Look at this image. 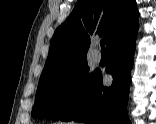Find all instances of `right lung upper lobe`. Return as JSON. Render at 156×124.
Returning a JSON list of instances; mask_svg holds the SVG:
<instances>
[{
    "label": "right lung upper lobe",
    "mask_w": 156,
    "mask_h": 124,
    "mask_svg": "<svg viewBox=\"0 0 156 124\" xmlns=\"http://www.w3.org/2000/svg\"><path fill=\"white\" fill-rule=\"evenodd\" d=\"M135 0H78L68 19L51 39L40 79L87 62L92 36H104L109 46L138 27Z\"/></svg>",
    "instance_id": "cb5924a9"
}]
</instances>
